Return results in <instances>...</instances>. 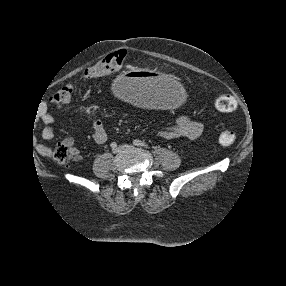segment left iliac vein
Wrapping results in <instances>:
<instances>
[{"label": "left iliac vein", "instance_id": "left-iliac-vein-1", "mask_svg": "<svg viewBox=\"0 0 286 286\" xmlns=\"http://www.w3.org/2000/svg\"><path fill=\"white\" fill-rule=\"evenodd\" d=\"M131 147H133V146H132V145H129V144H123V145L120 146V149H121V150H125V149H129V148H131Z\"/></svg>", "mask_w": 286, "mask_h": 286}]
</instances>
